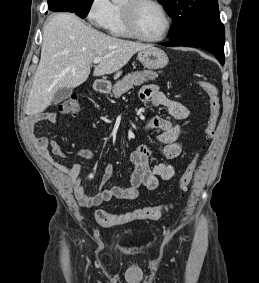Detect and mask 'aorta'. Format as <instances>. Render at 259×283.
<instances>
[{
	"instance_id": "obj_1",
	"label": "aorta",
	"mask_w": 259,
	"mask_h": 283,
	"mask_svg": "<svg viewBox=\"0 0 259 283\" xmlns=\"http://www.w3.org/2000/svg\"><path fill=\"white\" fill-rule=\"evenodd\" d=\"M113 2H119V1H121V0H112Z\"/></svg>"
}]
</instances>
